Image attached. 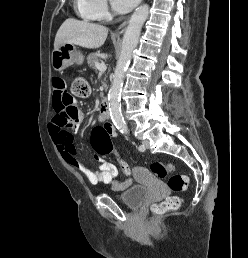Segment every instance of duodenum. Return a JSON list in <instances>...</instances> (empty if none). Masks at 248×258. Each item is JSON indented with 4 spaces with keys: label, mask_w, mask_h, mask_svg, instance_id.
I'll use <instances>...</instances> for the list:
<instances>
[{
    "label": "duodenum",
    "mask_w": 248,
    "mask_h": 258,
    "mask_svg": "<svg viewBox=\"0 0 248 258\" xmlns=\"http://www.w3.org/2000/svg\"><path fill=\"white\" fill-rule=\"evenodd\" d=\"M101 116L106 119L110 120V112H109V103L107 99H103L102 101V107H101Z\"/></svg>",
    "instance_id": "1"
}]
</instances>
